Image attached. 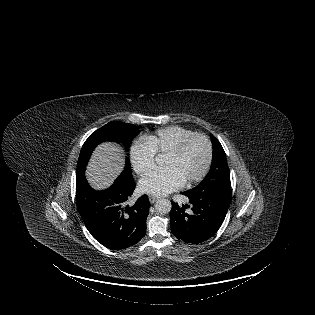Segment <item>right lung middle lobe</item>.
<instances>
[{
	"label": "right lung middle lobe",
	"mask_w": 315,
	"mask_h": 315,
	"mask_svg": "<svg viewBox=\"0 0 315 315\" xmlns=\"http://www.w3.org/2000/svg\"><path fill=\"white\" fill-rule=\"evenodd\" d=\"M137 126L119 121H111L100 129L92 133L85 141L77 164V174L85 172L86 165L95 147L106 141L117 142L123 144L126 150L134 137L139 134ZM128 175L131 174L130 161L126 158L124 171Z\"/></svg>",
	"instance_id": "1"
}]
</instances>
